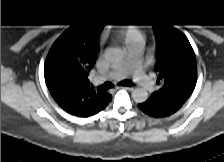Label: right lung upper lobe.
Wrapping results in <instances>:
<instances>
[{
	"label": "right lung upper lobe",
	"mask_w": 224,
	"mask_h": 162,
	"mask_svg": "<svg viewBox=\"0 0 224 162\" xmlns=\"http://www.w3.org/2000/svg\"><path fill=\"white\" fill-rule=\"evenodd\" d=\"M102 29L89 25L69 28L52 45L45 61L44 76L52 97L74 116H92L112 99L101 89L93 90L88 80Z\"/></svg>",
	"instance_id": "1"
}]
</instances>
